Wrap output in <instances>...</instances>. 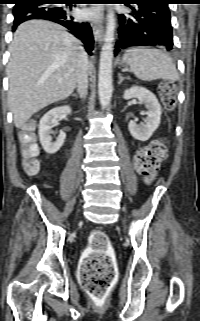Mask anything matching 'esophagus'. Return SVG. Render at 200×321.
Wrapping results in <instances>:
<instances>
[{
	"label": "esophagus",
	"mask_w": 200,
	"mask_h": 321,
	"mask_svg": "<svg viewBox=\"0 0 200 321\" xmlns=\"http://www.w3.org/2000/svg\"><path fill=\"white\" fill-rule=\"evenodd\" d=\"M92 29H93V34L95 37V40L101 44L103 42V38H104V28H103V24L102 21H95L92 24Z\"/></svg>",
	"instance_id": "obj_1"
}]
</instances>
